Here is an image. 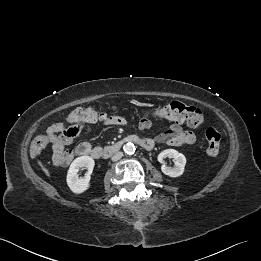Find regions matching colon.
I'll use <instances>...</instances> for the list:
<instances>
[{"label":"colon","mask_w":261,"mask_h":261,"mask_svg":"<svg viewBox=\"0 0 261 261\" xmlns=\"http://www.w3.org/2000/svg\"><path fill=\"white\" fill-rule=\"evenodd\" d=\"M106 116L107 114L105 112L91 107L76 109L71 112L67 118L70 122L69 127L59 134L55 140L60 144H68L78 135L83 123L104 121ZM151 117L185 122L192 127H198L203 123V113L199 108L178 101L155 106L147 113L141 122H148ZM205 137L207 141V155L212 158L216 157L220 152V132L214 127H209L205 132ZM52 141L53 135L48 132L36 136L31 143V154L38 155L48 145H51Z\"/></svg>","instance_id":"1"}]
</instances>
